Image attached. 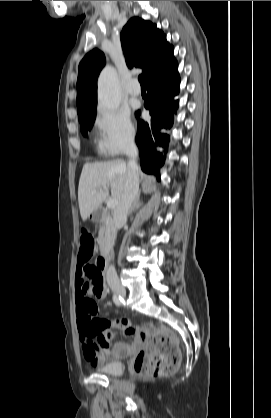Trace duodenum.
Here are the masks:
<instances>
[{
    "label": "duodenum",
    "instance_id": "1",
    "mask_svg": "<svg viewBox=\"0 0 271 418\" xmlns=\"http://www.w3.org/2000/svg\"><path fill=\"white\" fill-rule=\"evenodd\" d=\"M106 216H107L106 213H104L103 211H96L93 214V218L95 221H102L103 219L106 218ZM109 258H110L109 247H105L101 255L99 256V258L97 259V265L102 267V274H105L107 271Z\"/></svg>",
    "mask_w": 271,
    "mask_h": 418
}]
</instances>
